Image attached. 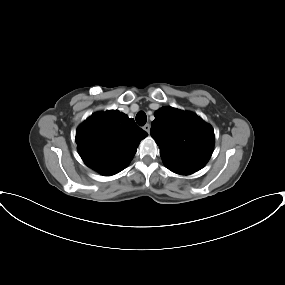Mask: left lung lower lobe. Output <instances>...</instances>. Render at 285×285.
I'll list each match as a JSON object with an SVG mask.
<instances>
[{
	"label": "left lung lower lobe",
	"instance_id": "left-lung-lower-lobe-1",
	"mask_svg": "<svg viewBox=\"0 0 285 285\" xmlns=\"http://www.w3.org/2000/svg\"><path fill=\"white\" fill-rule=\"evenodd\" d=\"M171 171H173L174 173H177V174H180V175H190L194 172L192 171H188V170H181V169H172V168H169Z\"/></svg>",
	"mask_w": 285,
	"mask_h": 285
}]
</instances>
